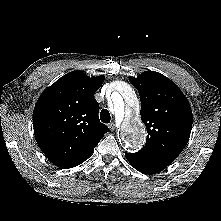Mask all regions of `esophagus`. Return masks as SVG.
Masks as SVG:
<instances>
[{"mask_svg": "<svg viewBox=\"0 0 221 221\" xmlns=\"http://www.w3.org/2000/svg\"><path fill=\"white\" fill-rule=\"evenodd\" d=\"M108 128L110 131H114L115 130V124L112 122L108 125Z\"/></svg>", "mask_w": 221, "mask_h": 221, "instance_id": "esophagus-1", "label": "esophagus"}]
</instances>
